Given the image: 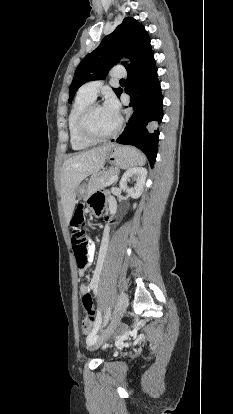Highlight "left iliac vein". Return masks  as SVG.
I'll return each instance as SVG.
<instances>
[{
    "mask_svg": "<svg viewBox=\"0 0 233 414\" xmlns=\"http://www.w3.org/2000/svg\"><path fill=\"white\" fill-rule=\"evenodd\" d=\"M128 305V297L125 293H121L118 297L117 304L115 310L113 312L111 322L106 328V330L100 336V339L97 343V347L104 343L116 330L122 316L124 315L126 308Z\"/></svg>",
    "mask_w": 233,
    "mask_h": 414,
    "instance_id": "obj_1",
    "label": "left iliac vein"
}]
</instances>
